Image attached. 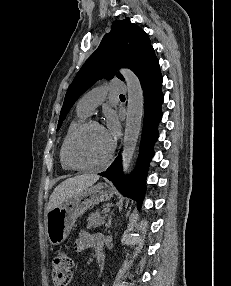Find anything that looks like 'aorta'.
<instances>
[{
	"label": "aorta",
	"instance_id": "1",
	"mask_svg": "<svg viewBox=\"0 0 231 286\" xmlns=\"http://www.w3.org/2000/svg\"><path fill=\"white\" fill-rule=\"evenodd\" d=\"M121 74L126 81L128 91L126 123L122 150L123 171L124 173H127L133 160L141 131L144 97L143 89L138 77L129 69H122Z\"/></svg>",
	"mask_w": 231,
	"mask_h": 286
}]
</instances>
